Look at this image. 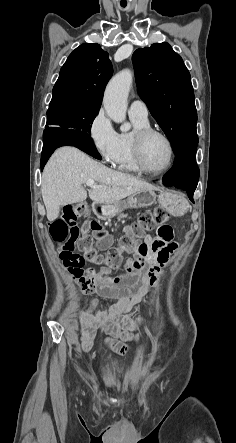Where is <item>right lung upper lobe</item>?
<instances>
[{
	"mask_svg": "<svg viewBox=\"0 0 236 443\" xmlns=\"http://www.w3.org/2000/svg\"><path fill=\"white\" fill-rule=\"evenodd\" d=\"M112 74L108 53L97 43L82 44L62 66L50 104L67 102L100 109L105 86Z\"/></svg>",
	"mask_w": 236,
	"mask_h": 443,
	"instance_id": "1",
	"label": "right lung upper lobe"
}]
</instances>
